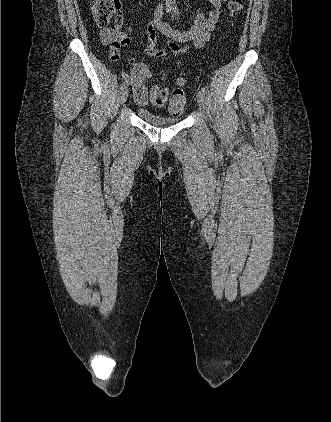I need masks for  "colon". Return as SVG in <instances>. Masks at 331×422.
<instances>
[{"label":"colon","mask_w":331,"mask_h":422,"mask_svg":"<svg viewBox=\"0 0 331 422\" xmlns=\"http://www.w3.org/2000/svg\"><path fill=\"white\" fill-rule=\"evenodd\" d=\"M244 0H229L228 9L230 16L235 19L243 10ZM92 15L99 27H106L111 20L119 21L121 17L119 0H90ZM132 74L141 81V86L135 90V98L144 101L148 91L144 83L151 78L148 66L144 63L133 65ZM169 90L163 86H155L150 92V98L156 106H163L168 100ZM186 107L185 92L181 87L175 88L170 95L168 110L172 115H180Z\"/></svg>","instance_id":"5ec220e1"}]
</instances>
